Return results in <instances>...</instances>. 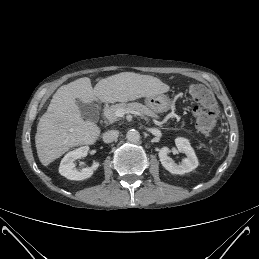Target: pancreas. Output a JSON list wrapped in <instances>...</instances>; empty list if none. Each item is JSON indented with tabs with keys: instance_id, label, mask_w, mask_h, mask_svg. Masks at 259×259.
I'll use <instances>...</instances> for the list:
<instances>
[{
	"instance_id": "1",
	"label": "pancreas",
	"mask_w": 259,
	"mask_h": 259,
	"mask_svg": "<svg viewBox=\"0 0 259 259\" xmlns=\"http://www.w3.org/2000/svg\"><path fill=\"white\" fill-rule=\"evenodd\" d=\"M118 110H123L125 112L139 111L148 117L158 118V116L152 110H150L148 107L138 102H132L127 104L120 103V104L112 105L111 107L107 108L104 111L105 118L110 123L116 122L119 119V117L116 115V112Z\"/></svg>"
}]
</instances>
